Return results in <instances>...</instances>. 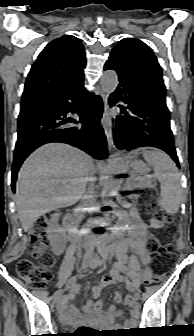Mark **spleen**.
<instances>
[{
  "instance_id": "obj_1",
  "label": "spleen",
  "mask_w": 194,
  "mask_h": 336,
  "mask_svg": "<svg viewBox=\"0 0 194 336\" xmlns=\"http://www.w3.org/2000/svg\"><path fill=\"white\" fill-rule=\"evenodd\" d=\"M144 159L153 167L161 184L160 206L169 214H175L180 206V175L171 158L159 150H144Z\"/></svg>"
}]
</instances>
